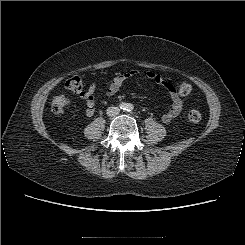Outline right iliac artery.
<instances>
[{
  "label": "right iliac artery",
  "mask_w": 245,
  "mask_h": 245,
  "mask_svg": "<svg viewBox=\"0 0 245 245\" xmlns=\"http://www.w3.org/2000/svg\"><path fill=\"white\" fill-rule=\"evenodd\" d=\"M126 107H127V104H126V103L122 102V103L120 104V109L125 110Z\"/></svg>",
  "instance_id": "1"
}]
</instances>
